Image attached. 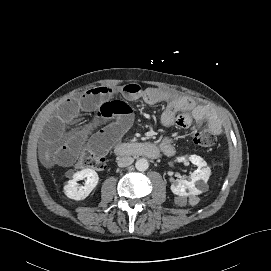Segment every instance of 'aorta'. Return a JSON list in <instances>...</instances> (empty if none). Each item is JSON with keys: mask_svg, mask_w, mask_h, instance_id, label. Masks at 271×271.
<instances>
[{"mask_svg": "<svg viewBox=\"0 0 271 271\" xmlns=\"http://www.w3.org/2000/svg\"><path fill=\"white\" fill-rule=\"evenodd\" d=\"M135 167L138 171H146L149 167V162L146 158H140L136 161Z\"/></svg>", "mask_w": 271, "mask_h": 271, "instance_id": "1", "label": "aorta"}]
</instances>
